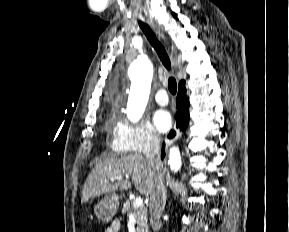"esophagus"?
<instances>
[{
	"label": "esophagus",
	"mask_w": 289,
	"mask_h": 232,
	"mask_svg": "<svg viewBox=\"0 0 289 232\" xmlns=\"http://www.w3.org/2000/svg\"><path fill=\"white\" fill-rule=\"evenodd\" d=\"M152 28L159 34L160 37L164 38L163 34L160 32V30L154 24H152Z\"/></svg>",
	"instance_id": "esophagus-1"
}]
</instances>
